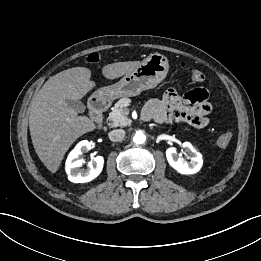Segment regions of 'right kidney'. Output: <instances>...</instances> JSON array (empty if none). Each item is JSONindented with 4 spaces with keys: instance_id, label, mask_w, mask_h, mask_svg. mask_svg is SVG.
Instances as JSON below:
<instances>
[{
    "instance_id": "obj_1",
    "label": "right kidney",
    "mask_w": 261,
    "mask_h": 261,
    "mask_svg": "<svg viewBox=\"0 0 261 261\" xmlns=\"http://www.w3.org/2000/svg\"><path fill=\"white\" fill-rule=\"evenodd\" d=\"M91 149V143L87 140L79 142L75 148L69 153L65 170L68 175V179L73 183H86L95 179L102 171L104 158L102 156H97L94 158L93 162L89 163L86 170L80 169L83 164V159L81 155L84 152H88Z\"/></svg>"
}]
</instances>
